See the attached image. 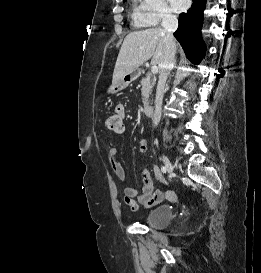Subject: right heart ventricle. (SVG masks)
<instances>
[{"instance_id":"right-heart-ventricle-1","label":"right heart ventricle","mask_w":261,"mask_h":273,"mask_svg":"<svg viewBox=\"0 0 261 273\" xmlns=\"http://www.w3.org/2000/svg\"><path fill=\"white\" fill-rule=\"evenodd\" d=\"M137 16H138V12H137V10H135L134 11V13H133V17H134V19L137 21Z\"/></svg>"}]
</instances>
